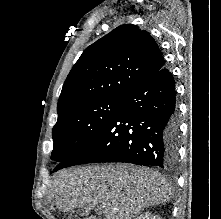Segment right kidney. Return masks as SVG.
Here are the masks:
<instances>
[{"label":"right kidney","mask_w":221,"mask_h":219,"mask_svg":"<svg viewBox=\"0 0 221 219\" xmlns=\"http://www.w3.org/2000/svg\"><path fill=\"white\" fill-rule=\"evenodd\" d=\"M135 219H161V218L159 216L151 214L150 212H145Z\"/></svg>","instance_id":"right-kidney-1"}]
</instances>
